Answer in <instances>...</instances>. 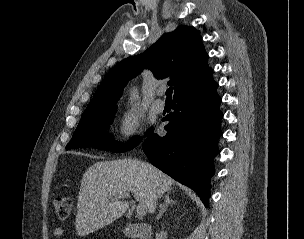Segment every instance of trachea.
I'll list each match as a JSON object with an SVG mask.
<instances>
[{"instance_id": "trachea-1", "label": "trachea", "mask_w": 304, "mask_h": 239, "mask_svg": "<svg viewBox=\"0 0 304 239\" xmlns=\"http://www.w3.org/2000/svg\"><path fill=\"white\" fill-rule=\"evenodd\" d=\"M172 92H173V88L172 87H169L166 90V100H172Z\"/></svg>"}]
</instances>
